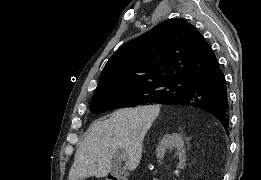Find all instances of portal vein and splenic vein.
<instances>
[{"label":"portal vein and splenic vein","mask_w":261,"mask_h":180,"mask_svg":"<svg viewBox=\"0 0 261 180\" xmlns=\"http://www.w3.org/2000/svg\"><path fill=\"white\" fill-rule=\"evenodd\" d=\"M120 158L121 160H124V162H127V154H125V152H122V154H120Z\"/></svg>","instance_id":"18ae733b"}]
</instances>
